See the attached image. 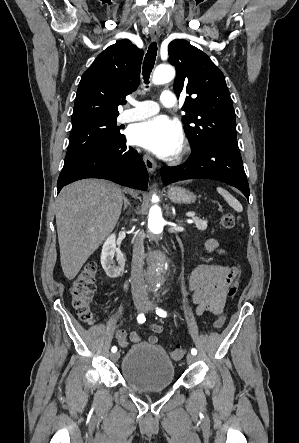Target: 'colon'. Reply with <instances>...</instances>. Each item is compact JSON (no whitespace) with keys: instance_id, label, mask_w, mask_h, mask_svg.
Listing matches in <instances>:
<instances>
[{"instance_id":"obj_1","label":"colon","mask_w":299,"mask_h":443,"mask_svg":"<svg viewBox=\"0 0 299 443\" xmlns=\"http://www.w3.org/2000/svg\"><path fill=\"white\" fill-rule=\"evenodd\" d=\"M222 226L232 229L236 225V217L231 212H226L221 217ZM98 266L95 262H88L75 278L70 289L71 304L81 321L91 324L94 322V313L90 303L96 288ZM240 268H236L235 280L228 289V296L234 297L238 288ZM225 315L219 316L213 323L214 329H220L225 324ZM184 348H176L171 352L174 360H181L185 355Z\"/></svg>"}]
</instances>
